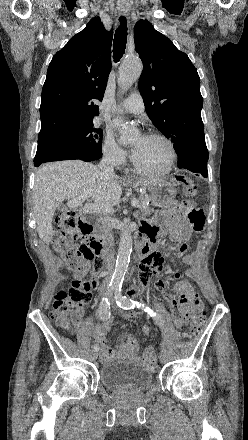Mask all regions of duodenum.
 I'll use <instances>...</instances> for the list:
<instances>
[{"label": "duodenum", "mask_w": 248, "mask_h": 440, "mask_svg": "<svg viewBox=\"0 0 248 440\" xmlns=\"http://www.w3.org/2000/svg\"><path fill=\"white\" fill-rule=\"evenodd\" d=\"M94 221H95L94 216L85 217L81 226L82 233L90 238L91 246L95 251L100 253L102 256H106L108 254V248L105 240H103L100 237L91 235L92 225ZM153 251H154V246L151 243H149L147 240H143L141 238L137 240V252H138V256L141 259H143V257H150ZM104 273H105L104 271L100 272V276L104 275Z\"/></svg>", "instance_id": "obj_1"}]
</instances>
